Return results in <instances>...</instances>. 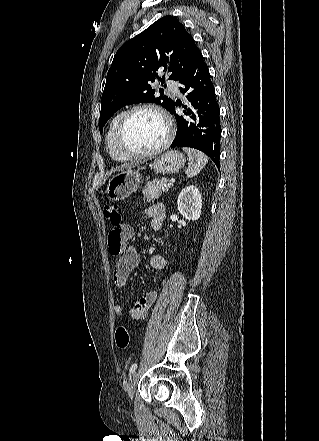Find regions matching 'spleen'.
<instances>
[{
    "instance_id": "spleen-1",
    "label": "spleen",
    "mask_w": 319,
    "mask_h": 441,
    "mask_svg": "<svg viewBox=\"0 0 319 441\" xmlns=\"http://www.w3.org/2000/svg\"><path fill=\"white\" fill-rule=\"evenodd\" d=\"M183 151L187 153L189 158V165L185 173L188 177H194L205 167L208 158L204 153L193 148L184 147Z\"/></svg>"
}]
</instances>
